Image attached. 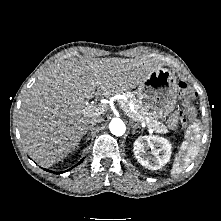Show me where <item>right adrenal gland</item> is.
<instances>
[{"mask_svg": "<svg viewBox=\"0 0 221 221\" xmlns=\"http://www.w3.org/2000/svg\"><path fill=\"white\" fill-rule=\"evenodd\" d=\"M92 126H88L87 128H86V131H85V133L84 134H87L88 133V131H89V129L91 128ZM90 138L88 137L87 138V141L89 140Z\"/></svg>", "mask_w": 221, "mask_h": 221, "instance_id": "1", "label": "right adrenal gland"}]
</instances>
